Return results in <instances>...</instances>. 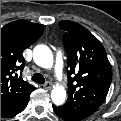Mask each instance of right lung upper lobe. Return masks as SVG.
<instances>
[{
    "label": "right lung upper lobe",
    "mask_w": 121,
    "mask_h": 121,
    "mask_svg": "<svg viewBox=\"0 0 121 121\" xmlns=\"http://www.w3.org/2000/svg\"><path fill=\"white\" fill-rule=\"evenodd\" d=\"M43 31L40 24L27 20H17L1 28V114L19 105L36 89L22 78L25 64L22 52Z\"/></svg>",
    "instance_id": "1"
}]
</instances>
